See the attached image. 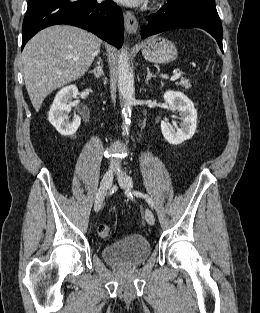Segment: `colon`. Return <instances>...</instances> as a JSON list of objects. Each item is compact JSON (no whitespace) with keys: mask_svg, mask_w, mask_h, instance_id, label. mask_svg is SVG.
I'll use <instances>...</instances> for the list:
<instances>
[{"mask_svg":"<svg viewBox=\"0 0 260 313\" xmlns=\"http://www.w3.org/2000/svg\"><path fill=\"white\" fill-rule=\"evenodd\" d=\"M98 235L105 240H111L113 238V232L107 225L100 224L97 228Z\"/></svg>","mask_w":260,"mask_h":313,"instance_id":"5ec220e1","label":"colon"}]
</instances>
